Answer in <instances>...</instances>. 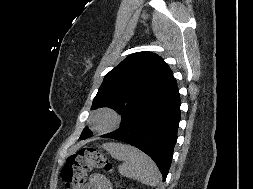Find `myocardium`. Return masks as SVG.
<instances>
[{"label": "myocardium", "instance_id": "1", "mask_svg": "<svg viewBox=\"0 0 253 189\" xmlns=\"http://www.w3.org/2000/svg\"><path fill=\"white\" fill-rule=\"evenodd\" d=\"M100 119H105L106 124L99 126ZM120 123L119 114L111 108H101L97 110L91 118V125L99 133H107L118 127Z\"/></svg>", "mask_w": 253, "mask_h": 189}]
</instances>
